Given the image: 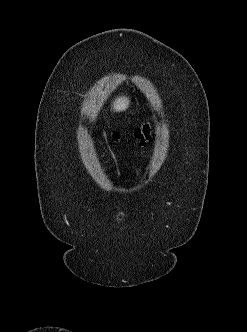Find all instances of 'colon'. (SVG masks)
<instances>
[{"label": "colon", "mask_w": 247, "mask_h": 332, "mask_svg": "<svg viewBox=\"0 0 247 332\" xmlns=\"http://www.w3.org/2000/svg\"><path fill=\"white\" fill-rule=\"evenodd\" d=\"M134 134L136 138H138L142 145L146 144L147 140L150 138V126L148 124H144L135 129ZM115 139L119 138L118 133H114Z\"/></svg>", "instance_id": "1"}]
</instances>
